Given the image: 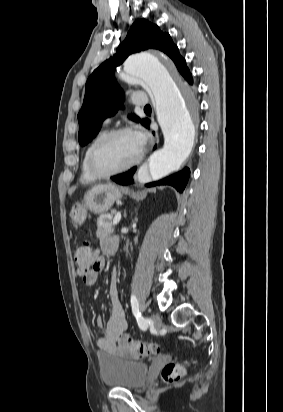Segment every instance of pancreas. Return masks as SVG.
I'll return each mask as SVG.
<instances>
[{
	"label": "pancreas",
	"instance_id": "pancreas-1",
	"mask_svg": "<svg viewBox=\"0 0 283 412\" xmlns=\"http://www.w3.org/2000/svg\"><path fill=\"white\" fill-rule=\"evenodd\" d=\"M114 232V228L112 226V222L107 217H99L97 220V231L96 236L98 238L104 237L106 235L112 234Z\"/></svg>",
	"mask_w": 283,
	"mask_h": 412
}]
</instances>
